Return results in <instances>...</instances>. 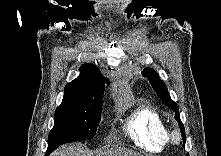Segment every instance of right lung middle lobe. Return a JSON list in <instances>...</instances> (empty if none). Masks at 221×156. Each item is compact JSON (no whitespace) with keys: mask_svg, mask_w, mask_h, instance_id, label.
<instances>
[{"mask_svg":"<svg viewBox=\"0 0 221 156\" xmlns=\"http://www.w3.org/2000/svg\"><path fill=\"white\" fill-rule=\"evenodd\" d=\"M103 100L61 104L55 112L54 126L48 136L46 156L58 146L92 139L100 121Z\"/></svg>","mask_w":221,"mask_h":156,"instance_id":"right-lung-middle-lobe-1","label":"right lung middle lobe"}]
</instances>
